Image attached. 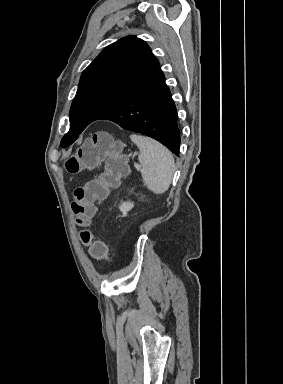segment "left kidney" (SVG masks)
<instances>
[{
	"instance_id": "1",
	"label": "left kidney",
	"mask_w": 283,
	"mask_h": 384,
	"mask_svg": "<svg viewBox=\"0 0 283 384\" xmlns=\"http://www.w3.org/2000/svg\"><path fill=\"white\" fill-rule=\"evenodd\" d=\"M133 206V202H122L121 206H119V210L123 214L122 218H124V216H127V212H130Z\"/></svg>"
}]
</instances>
